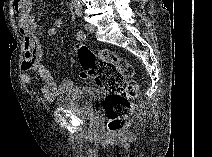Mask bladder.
<instances>
[{"mask_svg":"<svg viewBox=\"0 0 212 157\" xmlns=\"http://www.w3.org/2000/svg\"><path fill=\"white\" fill-rule=\"evenodd\" d=\"M105 98V93L94 86H76L60 98L56 105L59 108L70 110L94 121L99 117L98 104Z\"/></svg>","mask_w":212,"mask_h":157,"instance_id":"bladder-1","label":"bladder"}]
</instances>
